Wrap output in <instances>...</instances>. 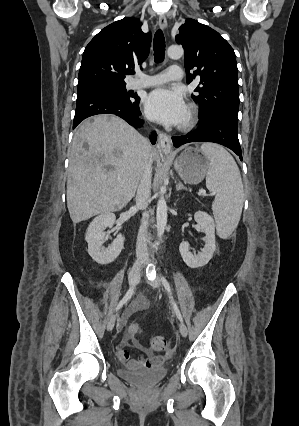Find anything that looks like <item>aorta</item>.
<instances>
[{
	"mask_svg": "<svg viewBox=\"0 0 299 426\" xmlns=\"http://www.w3.org/2000/svg\"><path fill=\"white\" fill-rule=\"evenodd\" d=\"M184 49L179 45H171L167 49V55L171 59H179L183 56ZM166 192L165 186H162L160 189V198L157 202V210H156V221H157V233H158V242H156V246L159 245V241L162 239L164 234L166 225H167V203L164 198V193Z\"/></svg>",
	"mask_w": 299,
	"mask_h": 426,
	"instance_id": "aorta-1",
	"label": "aorta"
}]
</instances>
